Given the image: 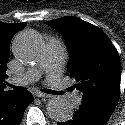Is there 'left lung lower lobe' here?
Returning <instances> with one entry per match:
<instances>
[{
	"instance_id": "left-lung-lower-lobe-1",
	"label": "left lung lower lobe",
	"mask_w": 125,
	"mask_h": 125,
	"mask_svg": "<svg viewBox=\"0 0 125 125\" xmlns=\"http://www.w3.org/2000/svg\"><path fill=\"white\" fill-rule=\"evenodd\" d=\"M113 112L106 109L80 105L74 110L73 117L58 125H105Z\"/></svg>"
}]
</instances>
